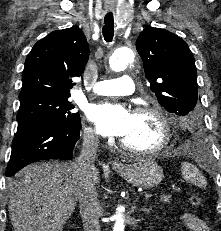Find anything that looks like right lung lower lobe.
<instances>
[{"mask_svg":"<svg viewBox=\"0 0 221 231\" xmlns=\"http://www.w3.org/2000/svg\"><path fill=\"white\" fill-rule=\"evenodd\" d=\"M80 129L81 122L70 124L51 118L31 119L19 125L12 141L6 176H13L39 160L72 159Z\"/></svg>","mask_w":221,"mask_h":231,"instance_id":"1","label":"right lung lower lobe"}]
</instances>
